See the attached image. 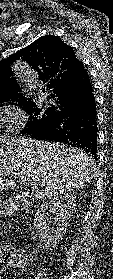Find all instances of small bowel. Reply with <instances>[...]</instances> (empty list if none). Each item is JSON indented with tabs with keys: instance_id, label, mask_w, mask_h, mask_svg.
Returning a JSON list of instances; mask_svg holds the SVG:
<instances>
[{
	"instance_id": "obj_1",
	"label": "small bowel",
	"mask_w": 113,
	"mask_h": 279,
	"mask_svg": "<svg viewBox=\"0 0 113 279\" xmlns=\"http://www.w3.org/2000/svg\"><path fill=\"white\" fill-rule=\"evenodd\" d=\"M22 264V261L19 257H14L13 260L10 262V265L12 267H18ZM0 279H2L1 275H0Z\"/></svg>"
}]
</instances>
